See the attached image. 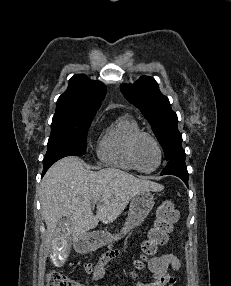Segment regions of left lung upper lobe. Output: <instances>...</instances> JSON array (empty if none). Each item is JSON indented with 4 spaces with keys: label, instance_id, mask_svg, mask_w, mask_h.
Returning <instances> with one entry per match:
<instances>
[{
    "label": "left lung upper lobe",
    "instance_id": "left-lung-upper-lobe-1",
    "mask_svg": "<svg viewBox=\"0 0 231 286\" xmlns=\"http://www.w3.org/2000/svg\"><path fill=\"white\" fill-rule=\"evenodd\" d=\"M120 88L125 98L140 109L150 123L163 147L166 160L180 152L183 148L182 135L177 129L178 118L168 98L159 91L157 82L151 77L142 76L134 84H124Z\"/></svg>",
    "mask_w": 231,
    "mask_h": 286
}]
</instances>
